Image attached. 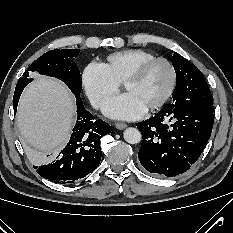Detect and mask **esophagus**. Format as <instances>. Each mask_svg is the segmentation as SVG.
Returning <instances> with one entry per match:
<instances>
[{
	"label": "esophagus",
	"mask_w": 233,
	"mask_h": 233,
	"mask_svg": "<svg viewBox=\"0 0 233 233\" xmlns=\"http://www.w3.org/2000/svg\"><path fill=\"white\" fill-rule=\"evenodd\" d=\"M115 127L118 129V130H123L127 127V124L125 123H116L115 124Z\"/></svg>",
	"instance_id": "esophagus-1"
}]
</instances>
